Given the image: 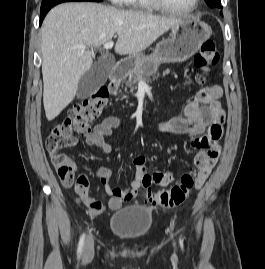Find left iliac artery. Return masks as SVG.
<instances>
[{
	"label": "left iliac artery",
	"instance_id": "left-iliac-artery-1",
	"mask_svg": "<svg viewBox=\"0 0 265 269\" xmlns=\"http://www.w3.org/2000/svg\"><path fill=\"white\" fill-rule=\"evenodd\" d=\"M180 245H181V248L183 249V240L180 238Z\"/></svg>",
	"mask_w": 265,
	"mask_h": 269
}]
</instances>
